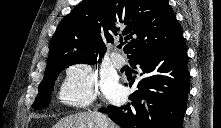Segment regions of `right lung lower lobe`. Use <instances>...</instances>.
<instances>
[{"label":"right lung lower lobe","instance_id":"98d812e1","mask_svg":"<svg viewBox=\"0 0 221 128\" xmlns=\"http://www.w3.org/2000/svg\"><path fill=\"white\" fill-rule=\"evenodd\" d=\"M188 56L182 37L177 43L134 57L132 67L144 78L129 96L131 104L108 105L99 111L108 114L121 128H182L190 91ZM134 83V77L130 87Z\"/></svg>","mask_w":221,"mask_h":128}]
</instances>
